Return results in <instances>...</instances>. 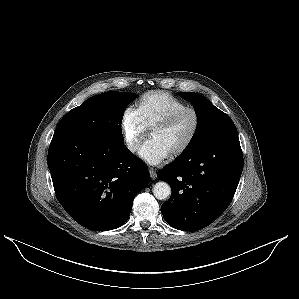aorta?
Masks as SVG:
<instances>
[{
	"instance_id": "aorta-1",
	"label": "aorta",
	"mask_w": 299,
	"mask_h": 299,
	"mask_svg": "<svg viewBox=\"0 0 299 299\" xmlns=\"http://www.w3.org/2000/svg\"><path fill=\"white\" fill-rule=\"evenodd\" d=\"M153 194L158 200H165L171 194V188L166 182H157L153 187Z\"/></svg>"
}]
</instances>
